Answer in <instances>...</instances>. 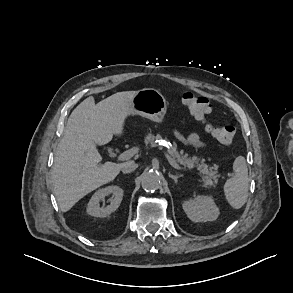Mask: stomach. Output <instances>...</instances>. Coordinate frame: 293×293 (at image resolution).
I'll list each match as a JSON object with an SVG mask.
<instances>
[{
    "mask_svg": "<svg viewBox=\"0 0 293 293\" xmlns=\"http://www.w3.org/2000/svg\"><path fill=\"white\" fill-rule=\"evenodd\" d=\"M131 108L132 114L162 123L167 112V102L158 90L146 88L136 91L131 100Z\"/></svg>",
    "mask_w": 293,
    "mask_h": 293,
    "instance_id": "1",
    "label": "stomach"
}]
</instances>
